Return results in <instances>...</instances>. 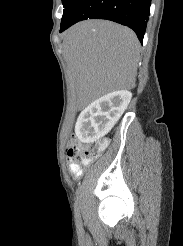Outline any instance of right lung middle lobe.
<instances>
[{
    "instance_id": "right-lung-middle-lobe-1",
    "label": "right lung middle lobe",
    "mask_w": 183,
    "mask_h": 246,
    "mask_svg": "<svg viewBox=\"0 0 183 246\" xmlns=\"http://www.w3.org/2000/svg\"><path fill=\"white\" fill-rule=\"evenodd\" d=\"M79 1L80 0H62L64 10L61 23L67 20Z\"/></svg>"
}]
</instances>
